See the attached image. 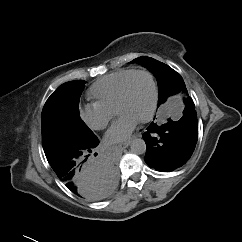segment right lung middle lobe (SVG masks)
<instances>
[{"label":"right lung middle lobe","mask_w":242,"mask_h":242,"mask_svg":"<svg viewBox=\"0 0 242 242\" xmlns=\"http://www.w3.org/2000/svg\"><path fill=\"white\" fill-rule=\"evenodd\" d=\"M85 81H70L59 86L46 101L42 116V145L46 158L93 142L95 134L79 115V100Z\"/></svg>","instance_id":"dd1d6c3e"}]
</instances>
